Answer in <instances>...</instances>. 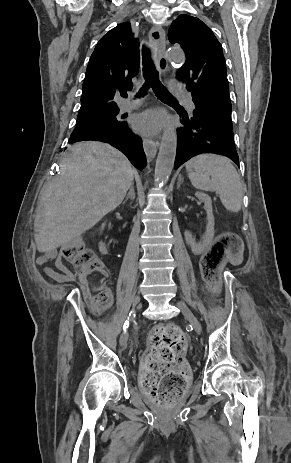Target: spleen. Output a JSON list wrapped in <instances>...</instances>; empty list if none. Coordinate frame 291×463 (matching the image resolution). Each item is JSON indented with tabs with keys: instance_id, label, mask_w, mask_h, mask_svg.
Instances as JSON below:
<instances>
[{
	"instance_id": "obj_1",
	"label": "spleen",
	"mask_w": 291,
	"mask_h": 463,
	"mask_svg": "<svg viewBox=\"0 0 291 463\" xmlns=\"http://www.w3.org/2000/svg\"><path fill=\"white\" fill-rule=\"evenodd\" d=\"M189 179L195 188L216 191L226 210L239 212L243 202V184L229 159L202 154L186 164Z\"/></svg>"
}]
</instances>
